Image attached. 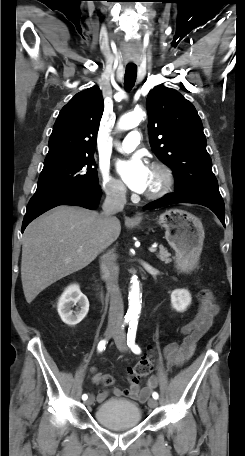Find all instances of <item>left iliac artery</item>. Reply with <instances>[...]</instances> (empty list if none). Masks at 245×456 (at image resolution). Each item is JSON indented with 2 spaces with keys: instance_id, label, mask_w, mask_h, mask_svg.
Wrapping results in <instances>:
<instances>
[{
  "instance_id": "left-iliac-artery-1",
  "label": "left iliac artery",
  "mask_w": 245,
  "mask_h": 456,
  "mask_svg": "<svg viewBox=\"0 0 245 456\" xmlns=\"http://www.w3.org/2000/svg\"><path fill=\"white\" fill-rule=\"evenodd\" d=\"M136 331H137V322L136 321L130 322L129 328H128V333H127V344L133 353L140 354L141 349L135 343ZM152 397L154 399H158L159 395L157 392H153Z\"/></svg>"
}]
</instances>
